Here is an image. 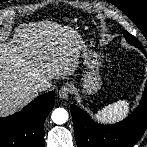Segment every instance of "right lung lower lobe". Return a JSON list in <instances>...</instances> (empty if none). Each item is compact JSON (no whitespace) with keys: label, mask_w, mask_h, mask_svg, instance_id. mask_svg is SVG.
<instances>
[{"label":"right lung lower lobe","mask_w":147,"mask_h":147,"mask_svg":"<svg viewBox=\"0 0 147 147\" xmlns=\"http://www.w3.org/2000/svg\"><path fill=\"white\" fill-rule=\"evenodd\" d=\"M53 105L52 91L38 96L20 112L0 118V147H43V124Z\"/></svg>","instance_id":"obj_1"}]
</instances>
